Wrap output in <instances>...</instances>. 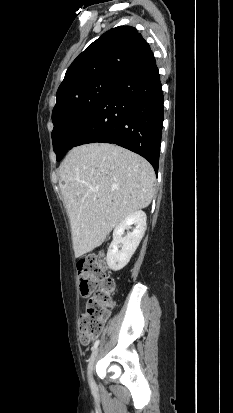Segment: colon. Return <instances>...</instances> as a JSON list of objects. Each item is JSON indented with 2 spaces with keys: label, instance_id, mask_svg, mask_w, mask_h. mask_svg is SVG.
<instances>
[{
  "label": "colon",
  "instance_id": "1",
  "mask_svg": "<svg viewBox=\"0 0 233 413\" xmlns=\"http://www.w3.org/2000/svg\"><path fill=\"white\" fill-rule=\"evenodd\" d=\"M80 292L83 296L93 294L80 316L79 339L90 343L101 331L113 306V296L117 287L108 275L102 255H89L77 264Z\"/></svg>",
  "mask_w": 233,
  "mask_h": 413
}]
</instances>
